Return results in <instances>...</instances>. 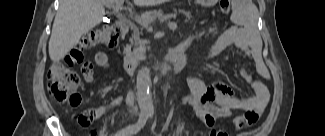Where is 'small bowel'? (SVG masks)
Returning <instances> with one entry per match:
<instances>
[{
	"mask_svg": "<svg viewBox=\"0 0 325 136\" xmlns=\"http://www.w3.org/2000/svg\"><path fill=\"white\" fill-rule=\"evenodd\" d=\"M229 46H234L241 53H246L247 49L252 47V40L242 25H236L225 30L208 48L201 57L207 59L220 53ZM81 44H72L67 48L66 56L61 58V63L65 64L66 69L78 68L83 64L82 75L85 81H94V66L99 68H108L110 62L104 52H98L92 62L91 57H84ZM259 73L267 77V73L261 65H257ZM240 73L246 82L251 86L254 94L252 96H239L235 90L224 83H216L207 86L197 73L196 67L188 76V85L190 93L179 99V104L192 107L204 125L210 129L209 136H227V131L216 130L215 123L218 118L229 117L234 111H242L243 115L237 116L233 120L234 129L239 131L254 124L264 111L269 102V90L264 83L252 77L244 68H240ZM79 96V95H78ZM80 98V96H79ZM123 101L122 97L116 98L110 105H101L84 110L78 117L82 126L89 125L93 120L103 116L108 110L117 107ZM80 101L72 105L79 106ZM125 116V113L122 114Z\"/></svg>",
	"mask_w": 325,
	"mask_h": 136,
	"instance_id": "obj_1",
	"label": "small bowel"
}]
</instances>
